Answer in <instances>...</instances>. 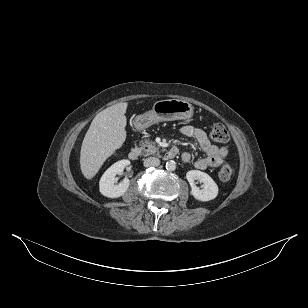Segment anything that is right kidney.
Returning a JSON list of instances; mask_svg holds the SVG:
<instances>
[{
    "mask_svg": "<svg viewBox=\"0 0 308 308\" xmlns=\"http://www.w3.org/2000/svg\"><path fill=\"white\" fill-rule=\"evenodd\" d=\"M128 165H130L129 160H121L106 170L99 182V190L102 195L109 198H118L125 194L130 185V180L125 178L119 184H116L115 176Z\"/></svg>",
    "mask_w": 308,
    "mask_h": 308,
    "instance_id": "1",
    "label": "right kidney"
}]
</instances>
